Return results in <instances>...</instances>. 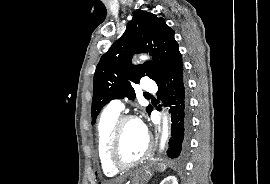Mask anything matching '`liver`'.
<instances>
[{"label": "liver", "instance_id": "obj_1", "mask_svg": "<svg viewBox=\"0 0 270 184\" xmlns=\"http://www.w3.org/2000/svg\"><path fill=\"white\" fill-rule=\"evenodd\" d=\"M108 184H120V181H116V182H110V183H108Z\"/></svg>", "mask_w": 270, "mask_h": 184}]
</instances>
